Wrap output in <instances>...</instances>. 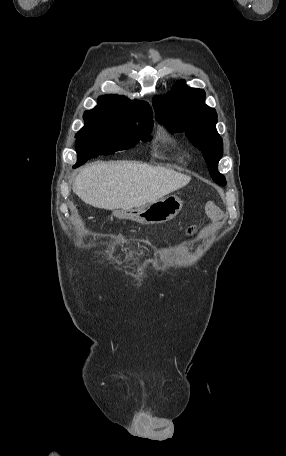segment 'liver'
I'll use <instances>...</instances> for the list:
<instances>
[{
	"label": "liver",
	"instance_id": "6515ba94",
	"mask_svg": "<svg viewBox=\"0 0 286 456\" xmlns=\"http://www.w3.org/2000/svg\"><path fill=\"white\" fill-rule=\"evenodd\" d=\"M191 177L139 162L95 163L74 180L73 192L101 209H131L153 203L186 186Z\"/></svg>",
	"mask_w": 286,
	"mask_h": 456
}]
</instances>
